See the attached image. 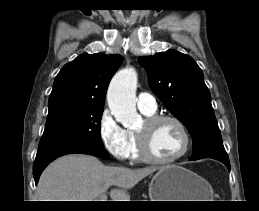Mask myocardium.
I'll list each match as a JSON object with an SVG mask.
<instances>
[{
	"label": "myocardium",
	"instance_id": "obj_1",
	"mask_svg": "<svg viewBox=\"0 0 259 211\" xmlns=\"http://www.w3.org/2000/svg\"><path fill=\"white\" fill-rule=\"evenodd\" d=\"M162 121H171L178 127L183 137L182 149L180 150V152H178L176 155L170 158H157L153 156L152 153L149 151L146 136L143 133L137 131L135 135L137 140L139 156L145 162L153 163V164H170L181 159L188 152L190 148L191 140H190L189 132L185 124L178 117L171 114L151 115V116H147L144 119V124L147 127H151Z\"/></svg>",
	"mask_w": 259,
	"mask_h": 211
}]
</instances>
